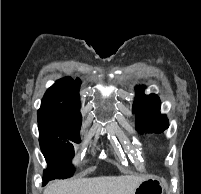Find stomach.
<instances>
[{"mask_svg": "<svg viewBox=\"0 0 201 194\" xmlns=\"http://www.w3.org/2000/svg\"><path fill=\"white\" fill-rule=\"evenodd\" d=\"M134 194H163V184L157 177H145L136 187Z\"/></svg>", "mask_w": 201, "mask_h": 194, "instance_id": "1", "label": "stomach"}]
</instances>
